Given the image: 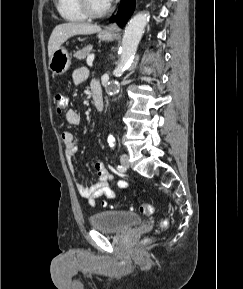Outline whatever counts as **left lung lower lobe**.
Returning <instances> with one entry per match:
<instances>
[{"label":"left lung lower lobe","mask_w":243,"mask_h":289,"mask_svg":"<svg viewBox=\"0 0 243 289\" xmlns=\"http://www.w3.org/2000/svg\"><path fill=\"white\" fill-rule=\"evenodd\" d=\"M135 8V0H121V4L116 16L110 18L111 22H117L119 26L123 27Z\"/></svg>","instance_id":"obj_1"}]
</instances>
